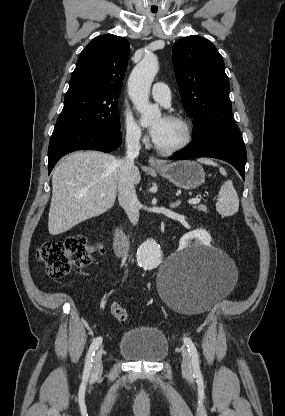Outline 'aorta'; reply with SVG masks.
Wrapping results in <instances>:
<instances>
[{"label":"aorta","mask_w":285,"mask_h":416,"mask_svg":"<svg viewBox=\"0 0 285 416\" xmlns=\"http://www.w3.org/2000/svg\"><path fill=\"white\" fill-rule=\"evenodd\" d=\"M159 69L157 58L153 55L144 57L133 69L128 82L129 96L141 114V124L148 125L161 112L158 106L149 102L152 82ZM160 246L154 239L143 242L137 251V262L144 269H153L160 264Z\"/></svg>","instance_id":"762f6f07"}]
</instances>
